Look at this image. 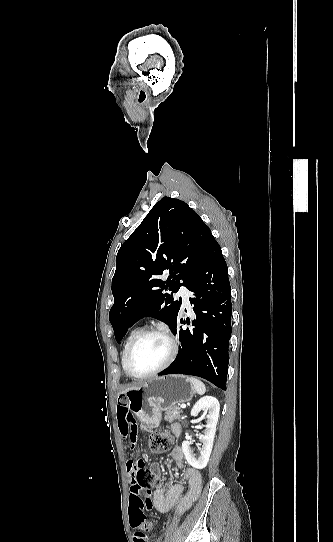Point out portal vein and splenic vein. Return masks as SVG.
Returning <instances> with one entry per match:
<instances>
[{"label": "portal vein and splenic vein", "mask_w": 333, "mask_h": 542, "mask_svg": "<svg viewBox=\"0 0 333 542\" xmlns=\"http://www.w3.org/2000/svg\"><path fill=\"white\" fill-rule=\"evenodd\" d=\"M181 408H186L185 404H182Z\"/></svg>", "instance_id": "18ae733b"}]
</instances>
